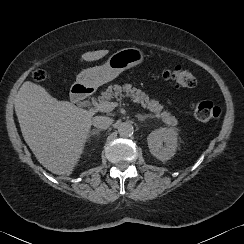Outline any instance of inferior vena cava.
<instances>
[{
    "label": "inferior vena cava",
    "instance_id": "1",
    "mask_svg": "<svg viewBox=\"0 0 244 244\" xmlns=\"http://www.w3.org/2000/svg\"><path fill=\"white\" fill-rule=\"evenodd\" d=\"M94 127L99 129H107L112 124V119L106 116H95L92 119Z\"/></svg>",
    "mask_w": 244,
    "mask_h": 244
}]
</instances>
